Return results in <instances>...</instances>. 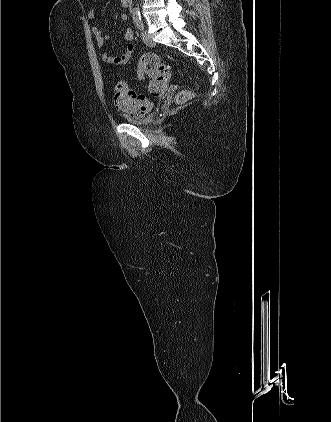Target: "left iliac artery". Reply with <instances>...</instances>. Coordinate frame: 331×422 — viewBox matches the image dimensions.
<instances>
[{"mask_svg": "<svg viewBox=\"0 0 331 422\" xmlns=\"http://www.w3.org/2000/svg\"><path fill=\"white\" fill-rule=\"evenodd\" d=\"M133 20L136 24V26L138 27V29L142 30L144 28L142 19H141V15L140 12L138 10L133 12Z\"/></svg>", "mask_w": 331, "mask_h": 422, "instance_id": "obj_1", "label": "left iliac artery"}]
</instances>
